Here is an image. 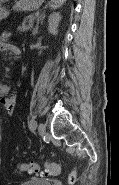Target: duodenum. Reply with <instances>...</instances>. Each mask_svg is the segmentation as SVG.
I'll return each instance as SVG.
<instances>
[{
    "label": "duodenum",
    "mask_w": 119,
    "mask_h": 185,
    "mask_svg": "<svg viewBox=\"0 0 119 185\" xmlns=\"http://www.w3.org/2000/svg\"><path fill=\"white\" fill-rule=\"evenodd\" d=\"M14 52H15L16 55H20V51L18 49H15Z\"/></svg>",
    "instance_id": "410a0bca"
}]
</instances>
